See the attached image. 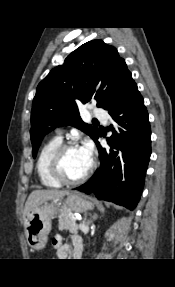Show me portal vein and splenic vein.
Listing matches in <instances>:
<instances>
[{
	"mask_svg": "<svg viewBox=\"0 0 175 287\" xmlns=\"http://www.w3.org/2000/svg\"><path fill=\"white\" fill-rule=\"evenodd\" d=\"M75 219H77V220H81V217H78V216H77V217H75Z\"/></svg>",
	"mask_w": 175,
	"mask_h": 287,
	"instance_id": "1",
	"label": "portal vein and splenic vein"
}]
</instances>
